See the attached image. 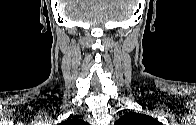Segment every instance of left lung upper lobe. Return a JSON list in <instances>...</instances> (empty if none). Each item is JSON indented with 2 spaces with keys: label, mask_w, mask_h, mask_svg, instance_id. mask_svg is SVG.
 Instances as JSON below:
<instances>
[{
  "label": "left lung upper lobe",
  "mask_w": 196,
  "mask_h": 125,
  "mask_svg": "<svg viewBox=\"0 0 196 125\" xmlns=\"http://www.w3.org/2000/svg\"><path fill=\"white\" fill-rule=\"evenodd\" d=\"M116 124L117 125H160V122L144 114L129 112L123 115L119 120H117Z\"/></svg>",
  "instance_id": "obj_1"
}]
</instances>
